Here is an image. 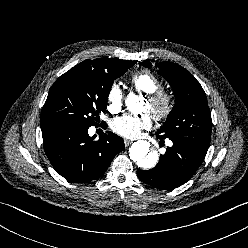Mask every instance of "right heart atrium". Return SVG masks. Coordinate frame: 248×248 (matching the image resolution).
Segmentation results:
<instances>
[{"instance_id":"1","label":"right heart atrium","mask_w":248,"mask_h":248,"mask_svg":"<svg viewBox=\"0 0 248 248\" xmlns=\"http://www.w3.org/2000/svg\"><path fill=\"white\" fill-rule=\"evenodd\" d=\"M109 110L111 112H119L122 107L123 98H122V91L117 84H113L108 92L107 96Z\"/></svg>"}]
</instances>
